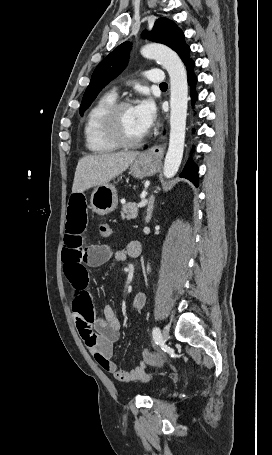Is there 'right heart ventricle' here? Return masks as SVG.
<instances>
[{"mask_svg":"<svg viewBox=\"0 0 272 455\" xmlns=\"http://www.w3.org/2000/svg\"><path fill=\"white\" fill-rule=\"evenodd\" d=\"M115 101L116 94L107 92L96 101L86 115L83 133L85 146L91 153L106 154L118 148L105 137L102 129V118Z\"/></svg>","mask_w":272,"mask_h":455,"instance_id":"1","label":"right heart ventricle"}]
</instances>
